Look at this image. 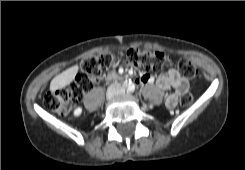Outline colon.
<instances>
[{"instance_id": "obj_1", "label": "colon", "mask_w": 245, "mask_h": 170, "mask_svg": "<svg viewBox=\"0 0 245 170\" xmlns=\"http://www.w3.org/2000/svg\"><path fill=\"white\" fill-rule=\"evenodd\" d=\"M169 58L164 52L140 50L129 48L125 54L103 53L86 57L81 63V70L69 87L49 91L43 97L46 108L60 114H67L73 104L88 92L101 76L104 69L117 64L128 67H140L145 70H160L168 65ZM178 71L185 78H195L198 74L196 67L188 59H181L178 63ZM193 97L190 93H184L180 97V103L190 105Z\"/></svg>"}]
</instances>
